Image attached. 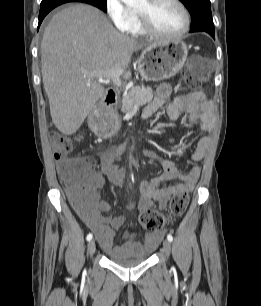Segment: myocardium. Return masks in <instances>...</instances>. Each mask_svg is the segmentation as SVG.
I'll use <instances>...</instances> for the list:
<instances>
[{
    "instance_id": "1",
    "label": "myocardium",
    "mask_w": 261,
    "mask_h": 306,
    "mask_svg": "<svg viewBox=\"0 0 261 306\" xmlns=\"http://www.w3.org/2000/svg\"><path fill=\"white\" fill-rule=\"evenodd\" d=\"M158 1L159 0H146V2L149 5H152V4H154ZM170 1L175 3L180 8V10L182 11V14H183V17H184L183 27L178 32L173 33V34H168V33L161 32L158 29H156V27L153 25L148 12L136 10L137 18H138L142 28L144 29V31L147 34L155 36V37H160V38L175 39V38L182 37L183 35H185L188 32V30L190 29V26H191V15H190V12H189L187 6L181 0H170Z\"/></svg>"
}]
</instances>
